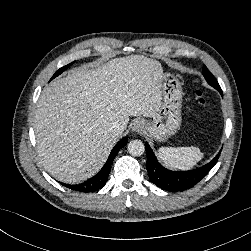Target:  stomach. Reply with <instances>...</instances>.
Returning a JSON list of instances; mask_svg holds the SVG:
<instances>
[{
    "instance_id": "stomach-1",
    "label": "stomach",
    "mask_w": 251,
    "mask_h": 251,
    "mask_svg": "<svg viewBox=\"0 0 251 251\" xmlns=\"http://www.w3.org/2000/svg\"><path fill=\"white\" fill-rule=\"evenodd\" d=\"M162 104L152 120L145 121L146 131L157 141H166L181 126V82L173 73H165L161 81Z\"/></svg>"
}]
</instances>
